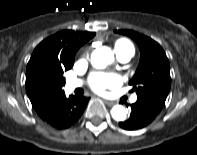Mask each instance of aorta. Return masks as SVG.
I'll use <instances>...</instances> for the list:
<instances>
[{
	"instance_id": "aorta-1",
	"label": "aorta",
	"mask_w": 197,
	"mask_h": 155,
	"mask_svg": "<svg viewBox=\"0 0 197 155\" xmlns=\"http://www.w3.org/2000/svg\"><path fill=\"white\" fill-rule=\"evenodd\" d=\"M112 60L113 52L108 47L97 48L91 54V64L97 69L105 68ZM127 113V109L122 105H115L111 109L112 118L116 121H124Z\"/></svg>"
}]
</instances>
